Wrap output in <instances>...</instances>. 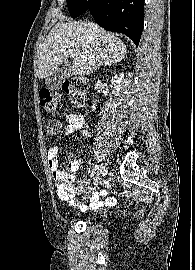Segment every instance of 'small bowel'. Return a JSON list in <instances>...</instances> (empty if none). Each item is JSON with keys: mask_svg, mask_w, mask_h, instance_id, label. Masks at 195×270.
<instances>
[{"mask_svg": "<svg viewBox=\"0 0 195 270\" xmlns=\"http://www.w3.org/2000/svg\"><path fill=\"white\" fill-rule=\"evenodd\" d=\"M65 127V136H69L75 132H78L82 138H87L89 136V129L86 123V120L83 115L76 113H68L64 117ZM47 158L49 162L50 170L52 171L53 176L59 171V160H58V147L52 146L47 151ZM80 168V163L77 160H73L69 164V169L72 173H76ZM82 189V188H80ZM58 196L61 200L69 202L73 206H79L82 210H86V205H81L74 198L76 190L74 188L70 189L68 193L62 194L58 192ZM116 203L114 197H107L105 200L101 199V193L95 191L91 200L90 205L94 208L100 207L103 204L108 206H113Z\"/></svg>", "mask_w": 195, "mask_h": 270, "instance_id": "1", "label": "small bowel"}]
</instances>
